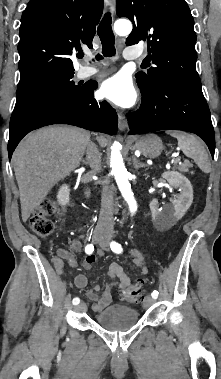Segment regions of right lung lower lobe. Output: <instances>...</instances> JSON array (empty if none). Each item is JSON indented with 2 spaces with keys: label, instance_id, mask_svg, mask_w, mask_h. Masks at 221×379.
I'll use <instances>...</instances> for the list:
<instances>
[{
  "label": "right lung lower lobe",
  "instance_id": "98d812e1",
  "mask_svg": "<svg viewBox=\"0 0 221 379\" xmlns=\"http://www.w3.org/2000/svg\"><path fill=\"white\" fill-rule=\"evenodd\" d=\"M96 86L87 84L82 92L65 101L41 106L10 127L8 155L30 131L51 124H70L109 135L116 134L117 114L106 101L97 102L93 91Z\"/></svg>",
  "mask_w": 221,
  "mask_h": 379
}]
</instances>
